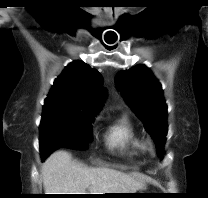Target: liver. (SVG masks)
<instances>
[{"mask_svg": "<svg viewBox=\"0 0 208 198\" xmlns=\"http://www.w3.org/2000/svg\"><path fill=\"white\" fill-rule=\"evenodd\" d=\"M41 177L45 194L136 193L145 187L143 182L121 171L84 167L66 151H56L46 159Z\"/></svg>", "mask_w": 208, "mask_h": 198, "instance_id": "liver-1", "label": "liver"}]
</instances>
